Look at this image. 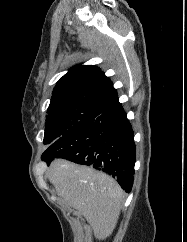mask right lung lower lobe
Listing matches in <instances>:
<instances>
[{"label":"right lung lower lobe","mask_w":187,"mask_h":242,"mask_svg":"<svg viewBox=\"0 0 187 242\" xmlns=\"http://www.w3.org/2000/svg\"><path fill=\"white\" fill-rule=\"evenodd\" d=\"M135 157L133 130L119 101L57 139L42 154L48 164L54 158H65L92 165L115 178L128 193L133 185Z\"/></svg>","instance_id":"1"}]
</instances>
